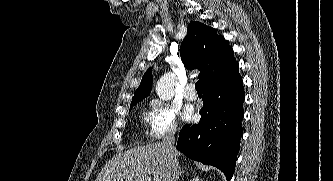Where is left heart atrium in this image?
I'll use <instances>...</instances> for the list:
<instances>
[{
	"label": "left heart atrium",
	"instance_id": "left-heart-atrium-1",
	"mask_svg": "<svg viewBox=\"0 0 333 181\" xmlns=\"http://www.w3.org/2000/svg\"><path fill=\"white\" fill-rule=\"evenodd\" d=\"M183 117L185 119H189L191 117V111L190 110H185L184 114H183Z\"/></svg>",
	"mask_w": 333,
	"mask_h": 181
}]
</instances>
